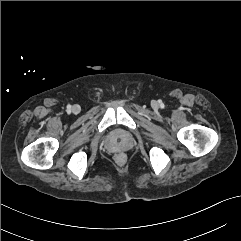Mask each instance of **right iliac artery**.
Listing matches in <instances>:
<instances>
[{"label":"right iliac artery","mask_w":241,"mask_h":241,"mask_svg":"<svg viewBox=\"0 0 241 241\" xmlns=\"http://www.w3.org/2000/svg\"><path fill=\"white\" fill-rule=\"evenodd\" d=\"M67 110L70 111L71 110V105L67 106Z\"/></svg>","instance_id":"right-iliac-artery-1"}]
</instances>
